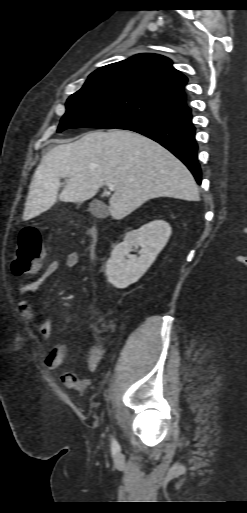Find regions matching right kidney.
<instances>
[{"instance_id": "1", "label": "right kidney", "mask_w": 247, "mask_h": 513, "mask_svg": "<svg viewBox=\"0 0 247 513\" xmlns=\"http://www.w3.org/2000/svg\"><path fill=\"white\" fill-rule=\"evenodd\" d=\"M170 225L163 220H155L138 230L126 234L124 241L112 251L106 264L108 281L114 287L122 289L136 282L155 261L171 236ZM139 255H132L133 250Z\"/></svg>"}]
</instances>
